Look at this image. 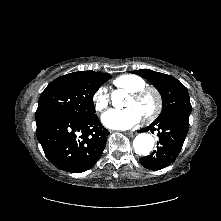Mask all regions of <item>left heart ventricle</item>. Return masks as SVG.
<instances>
[{
    "label": "left heart ventricle",
    "instance_id": "obj_1",
    "mask_svg": "<svg viewBox=\"0 0 221 221\" xmlns=\"http://www.w3.org/2000/svg\"><path fill=\"white\" fill-rule=\"evenodd\" d=\"M154 105H155L154 97L150 94L146 95L141 100H135L130 96L125 104L126 107L136 108L142 117L150 113L153 110Z\"/></svg>",
    "mask_w": 221,
    "mask_h": 221
}]
</instances>
